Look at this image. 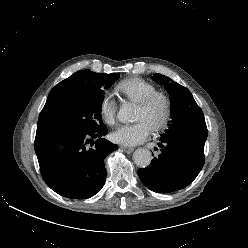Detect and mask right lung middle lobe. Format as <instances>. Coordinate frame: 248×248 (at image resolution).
<instances>
[{"instance_id": "right-lung-middle-lobe-1", "label": "right lung middle lobe", "mask_w": 248, "mask_h": 248, "mask_svg": "<svg viewBox=\"0 0 248 248\" xmlns=\"http://www.w3.org/2000/svg\"><path fill=\"white\" fill-rule=\"evenodd\" d=\"M85 71L79 91L60 101L45 104L37 128L97 131L105 127L101 118L104 89L113 85L119 74Z\"/></svg>"}]
</instances>
